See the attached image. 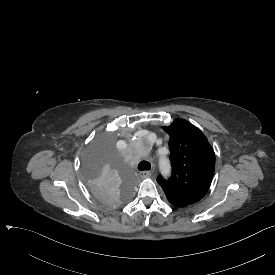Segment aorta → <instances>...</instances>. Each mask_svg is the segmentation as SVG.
I'll use <instances>...</instances> for the list:
<instances>
[{"mask_svg":"<svg viewBox=\"0 0 275 275\" xmlns=\"http://www.w3.org/2000/svg\"><path fill=\"white\" fill-rule=\"evenodd\" d=\"M159 169L162 177L166 178L171 173V162L167 158H160Z\"/></svg>","mask_w":275,"mask_h":275,"instance_id":"762f6f07","label":"aorta"}]
</instances>
